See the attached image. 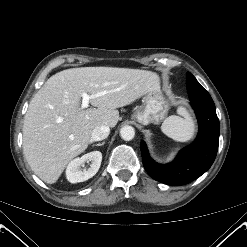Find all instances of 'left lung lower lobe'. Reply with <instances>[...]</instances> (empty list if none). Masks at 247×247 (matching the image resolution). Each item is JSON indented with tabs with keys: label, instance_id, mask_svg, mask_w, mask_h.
Returning a JSON list of instances; mask_svg holds the SVG:
<instances>
[{
	"label": "left lung lower lobe",
	"instance_id": "obj_1",
	"mask_svg": "<svg viewBox=\"0 0 247 247\" xmlns=\"http://www.w3.org/2000/svg\"><path fill=\"white\" fill-rule=\"evenodd\" d=\"M187 89L199 122L196 140L166 165L154 162L145 142H141L145 170L153 179L168 185H184L205 173L213 164L219 145L220 124L211 96L195 77L187 80Z\"/></svg>",
	"mask_w": 247,
	"mask_h": 247
}]
</instances>
